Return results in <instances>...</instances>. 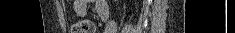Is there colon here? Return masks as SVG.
<instances>
[{
  "label": "colon",
  "instance_id": "5ec220e1",
  "mask_svg": "<svg viewBox=\"0 0 235 33\" xmlns=\"http://www.w3.org/2000/svg\"><path fill=\"white\" fill-rule=\"evenodd\" d=\"M71 33H94V25L89 20H80L73 24Z\"/></svg>",
  "mask_w": 235,
  "mask_h": 33
}]
</instances>
